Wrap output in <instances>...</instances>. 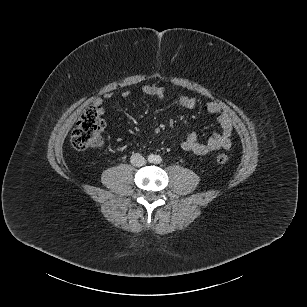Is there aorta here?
<instances>
[{
	"label": "aorta",
	"instance_id": "aorta-1",
	"mask_svg": "<svg viewBox=\"0 0 307 307\" xmlns=\"http://www.w3.org/2000/svg\"><path fill=\"white\" fill-rule=\"evenodd\" d=\"M148 159L151 163H158L161 160V157L159 155L151 154Z\"/></svg>",
	"mask_w": 307,
	"mask_h": 307
}]
</instances>
